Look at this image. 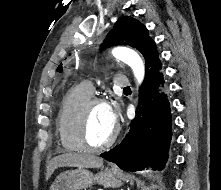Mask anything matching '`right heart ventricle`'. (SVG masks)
<instances>
[{
    "label": "right heart ventricle",
    "mask_w": 221,
    "mask_h": 190,
    "mask_svg": "<svg viewBox=\"0 0 221 190\" xmlns=\"http://www.w3.org/2000/svg\"><path fill=\"white\" fill-rule=\"evenodd\" d=\"M92 96L83 85L72 88L63 99L57 115L59 142L66 152L81 151L75 137V120L80 107Z\"/></svg>",
    "instance_id": "obj_1"
}]
</instances>
